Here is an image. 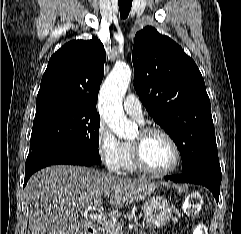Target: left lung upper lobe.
I'll list each match as a JSON object with an SVG mask.
<instances>
[{
	"label": "left lung upper lobe",
	"mask_w": 241,
	"mask_h": 234,
	"mask_svg": "<svg viewBox=\"0 0 241 234\" xmlns=\"http://www.w3.org/2000/svg\"><path fill=\"white\" fill-rule=\"evenodd\" d=\"M134 88L149 114L176 143L182 174H221L204 79L184 50L153 27L134 39Z\"/></svg>",
	"instance_id": "1"
}]
</instances>
